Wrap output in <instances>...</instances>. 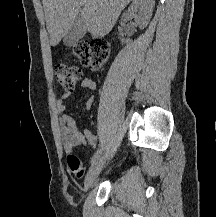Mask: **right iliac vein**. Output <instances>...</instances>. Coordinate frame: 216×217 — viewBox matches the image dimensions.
Wrapping results in <instances>:
<instances>
[{
  "instance_id": "1",
  "label": "right iliac vein",
  "mask_w": 216,
  "mask_h": 217,
  "mask_svg": "<svg viewBox=\"0 0 216 217\" xmlns=\"http://www.w3.org/2000/svg\"><path fill=\"white\" fill-rule=\"evenodd\" d=\"M103 164L104 158L101 157L91 166L85 178V189H88L94 183L103 168Z\"/></svg>"
}]
</instances>
